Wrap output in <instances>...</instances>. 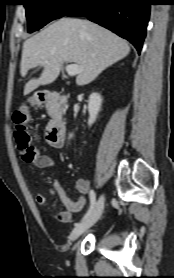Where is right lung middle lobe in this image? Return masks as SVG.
<instances>
[{
    "instance_id": "1",
    "label": "right lung middle lobe",
    "mask_w": 174,
    "mask_h": 278,
    "mask_svg": "<svg viewBox=\"0 0 174 278\" xmlns=\"http://www.w3.org/2000/svg\"><path fill=\"white\" fill-rule=\"evenodd\" d=\"M28 32L39 30L52 20L63 17L78 0H23Z\"/></svg>"
}]
</instances>
